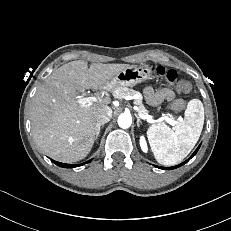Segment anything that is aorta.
I'll list each match as a JSON object with an SVG mask.
<instances>
[{"instance_id": "obj_1", "label": "aorta", "mask_w": 231, "mask_h": 231, "mask_svg": "<svg viewBox=\"0 0 231 231\" xmlns=\"http://www.w3.org/2000/svg\"><path fill=\"white\" fill-rule=\"evenodd\" d=\"M131 123H132V118L128 114H121L118 117V125L123 129L129 128L131 126Z\"/></svg>"}]
</instances>
